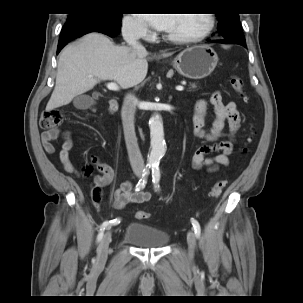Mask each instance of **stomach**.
<instances>
[{"label": "stomach", "instance_id": "0dacf381", "mask_svg": "<svg viewBox=\"0 0 303 303\" xmlns=\"http://www.w3.org/2000/svg\"><path fill=\"white\" fill-rule=\"evenodd\" d=\"M218 62L216 52L207 45H196L183 50L172 65L182 76L190 79L207 77Z\"/></svg>", "mask_w": 303, "mask_h": 303}]
</instances>
